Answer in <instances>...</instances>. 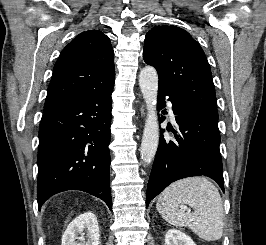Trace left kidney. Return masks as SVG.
I'll use <instances>...</instances> for the list:
<instances>
[{"mask_svg": "<svg viewBox=\"0 0 266 245\" xmlns=\"http://www.w3.org/2000/svg\"><path fill=\"white\" fill-rule=\"evenodd\" d=\"M165 245H195V243L185 233L177 229H169L165 235Z\"/></svg>", "mask_w": 266, "mask_h": 245, "instance_id": "5707ae66", "label": "left kidney"}]
</instances>
